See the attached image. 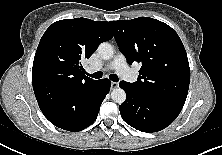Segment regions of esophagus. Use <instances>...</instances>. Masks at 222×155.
I'll list each match as a JSON object with an SVG mask.
<instances>
[{"label": "esophagus", "instance_id": "obj_1", "mask_svg": "<svg viewBox=\"0 0 222 155\" xmlns=\"http://www.w3.org/2000/svg\"><path fill=\"white\" fill-rule=\"evenodd\" d=\"M118 87V83L116 82H111V89H115Z\"/></svg>", "mask_w": 222, "mask_h": 155}]
</instances>
